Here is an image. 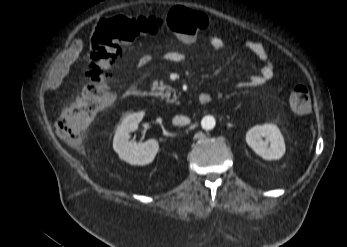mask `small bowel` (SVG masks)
<instances>
[{"instance_id":"c3829d8e","label":"small bowel","mask_w":347,"mask_h":247,"mask_svg":"<svg viewBox=\"0 0 347 247\" xmlns=\"http://www.w3.org/2000/svg\"><path fill=\"white\" fill-rule=\"evenodd\" d=\"M185 42L189 43L191 41ZM209 43L215 50H221L225 47L224 40L219 36H211L209 38ZM246 48L260 62L261 67L257 74L252 75L248 81L245 82V85L250 87L261 86L273 77L275 72L274 64L262 43L257 41H248L246 42ZM81 49L82 44L75 43L67 54H65L60 60L53 63L51 67V81L55 82V85L60 81L63 74L68 69L70 60L74 59L80 53ZM163 58L167 62H182L185 59V55L179 51H169L164 54ZM150 60V56L143 55L138 62V67L142 68L146 66Z\"/></svg>"}]
</instances>
